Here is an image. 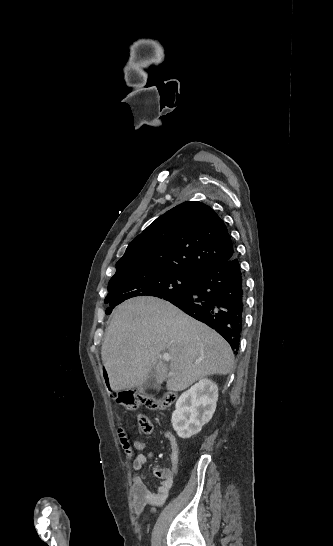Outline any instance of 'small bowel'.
<instances>
[{
	"mask_svg": "<svg viewBox=\"0 0 333 546\" xmlns=\"http://www.w3.org/2000/svg\"><path fill=\"white\" fill-rule=\"evenodd\" d=\"M171 445V461L168 468L156 469V475L162 479L154 491H151L143 482L140 471L143 466L151 459L152 453H142L137 455L132 461V467L136 473L132 487L133 506L137 517H140L147 506L158 507L165 503L168 498V487L171 485L174 476L177 474L180 464V452L178 443L174 435L168 431L164 433ZM136 450L145 449V443L136 439L133 442Z\"/></svg>",
	"mask_w": 333,
	"mask_h": 546,
	"instance_id": "c3829d8e",
	"label": "small bowel"
}]
</instances>
